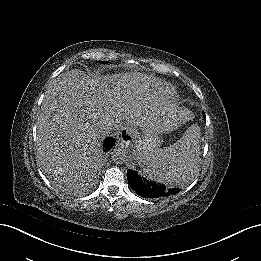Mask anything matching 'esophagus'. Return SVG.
<instances>
[{"instance_id":"esophagus-1","label":"esophagus","mask_w":261,"mask_h":261,"mask_svg":"<svg viewBox=\"0 0 261 261\" xmlns=\"http://www.w3.org/2000/svg\"><path fill=\"white\" fill-rule=\"evenodd\" d=\"M120 142L119 145L122 148H127L133 139V130L130 127H124L118 135Z\"/></svg>"}]
</instances>
